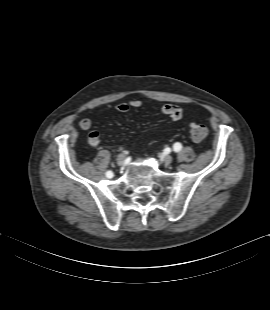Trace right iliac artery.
I'll use <instances>...</instances> for the list:
<instances>
[{
  "label": "right iliac artery",
  "instance_id": "obj_1",
  "mask_svg": "<svg viewBox=\"0 0 270 310\" xmlns=\"http://www.w3.org/2000/svg\"><path fill=\"white\" fill-rule=\"evenodd\" d=\"M106 175H107L108 178H112L113 177L112 171H107Z\"/></svg>",
  "mask_w": 270,
  "mask_h": 310
}]
</instances>
